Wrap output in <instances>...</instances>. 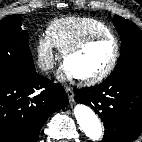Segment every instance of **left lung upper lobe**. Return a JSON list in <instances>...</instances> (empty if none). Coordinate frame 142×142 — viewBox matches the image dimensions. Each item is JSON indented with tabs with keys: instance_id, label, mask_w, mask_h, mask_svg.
I'll return each mask as SVG.
<instances>
[{
	"instance_id": "obj_1",
	"label": "left lung upper lobe",
	"mask_w": 142,
	"mask_h": 142,
	"mask_svg": "<svg viewBox=\"0 0 142 142\" xmlns=\"http://www.w3.org/2000/svg\"><path fill=\"white\" fill-rule=\"evenodd\" d=\"M113 23L121 36V55L106 81L142 78V31L118 15L114 16Z\"/></svg>"
}]
</instances>
